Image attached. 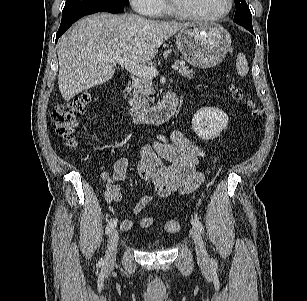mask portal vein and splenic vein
<instances>
[{
    "label": "portal vein and splenic vein",
    "mask_w": 307,
    "mask_h": 301,
    "mask_svg": "<svg viewBox=\"0 0 307 301\" xmlns=\"http://www.w3.org/2000/svg\"><path fill=\"white\" fill-rule=\"evenodd\" d=\"M107 61L110 63H118L125 69H127L130 73L133 75L139 76V77H146V78H152L158 74V70L155 67H147L140 65L128 57H113V58H106ZM173 70H178L177 65L171 66Z\"/></svg>",
    "instance_id": "1"
}]
</instances>
